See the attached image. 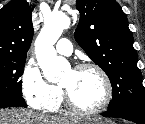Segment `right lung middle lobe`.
Instances as JSON below:
<instances>
[{"label":"right lung middle lobe","mask_w":145,"mask_h":124,"mask_svg":"<svg viewBox=\"0 0 145 124\" xmlns=\"http://www.w3.org/2000/svg\"><path fill=\"white\" fill-rule=\"evenodd\" d=\"M26 58L0 57V96H22L21 80Z\"/></svg>","instance_id":"dd1d6c3e"}]
</instances>
